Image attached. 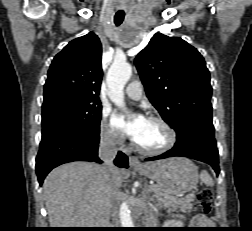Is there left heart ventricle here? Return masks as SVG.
Returning <instances> with one entry per match:
<instances>
[{
	"label": "left heart ventricle",
	"mask_w": 252,
	"mask_h": 231,
	"mask_svg": "<svg viewBox=\"0 0 252 231\" xmlns=\"http://www.w3.org/2000/svg\"><path fill=\"white\" fill-rule=\"evenodd\" d=\"M168 135L164 127L151 120H147L141 134L135 140L140 146L147 149H157L166 144Z\"/></svg>",
	"instance_id": "left-heart-ventricle-1"
}]
</instances>
